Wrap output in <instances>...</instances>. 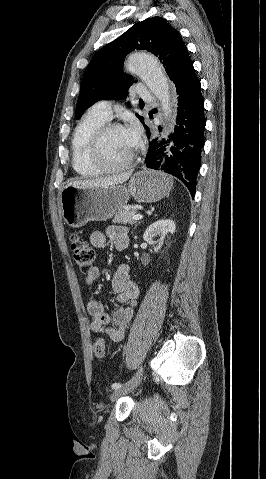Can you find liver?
<instances>
[{
    "label": "liver",
    "instance_id": "6515ba94",
    "mask_svg": "<svg viewBox=\"0 0 266 479\" xmlns=\"http://www.w3.org/2000/svg\"><path fill=\"white\" fill-rule=\"evenodd\" d=\"M131 172L123 173L119 175L91 179V180H75L68 183L67 186H75L77 188H94V187H108L112 185H118L129 179Z\"/></svg>",
    "mask_w": 266,
    "mask_h": 479
}]
</instances>
